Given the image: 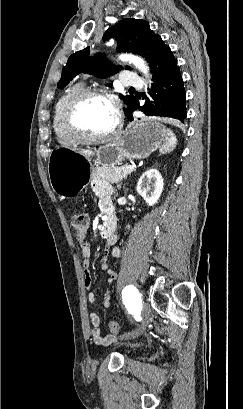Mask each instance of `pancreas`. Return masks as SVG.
Masks as SVG:
<instances>
[{
	"mask_svg": "<svg viewBox=\"0 0 243 409\" xmlns=\"http://www.w3.org/2000/svg\"><path fill=\"white\" fill-rule=\"evenodd\" d=\"M126 166V165H125ZM122 167H97L93 171V177L103 184L119 183L133 171Z\"/></svg>",
	"mask_w": 243,
	"mask_h": 409,
	"instance_id": "obj_1",
	"label": "pancreas"
}]
</instances>
